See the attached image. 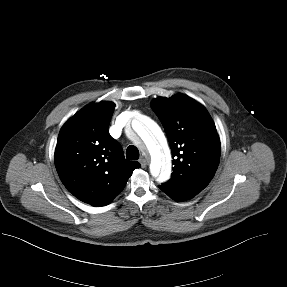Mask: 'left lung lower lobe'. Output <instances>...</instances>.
<instances>
[{"instance_id": "left-lung-lower-lobe-1", "label": "left lung lower lobe", "mask_w": 287, "mask_h": 287, "mask_svg": "<svg viewBox=\"0 0 287 287\" xmlns=\"http://www.w3.org/2000/svg\"><path fill=\"white\" fill-rule=\"evenodd\" d=\"M159 188L165 192L169 197H171L173 200H176V201H185V200H188L178 194H176L175 192L169 190L168 188L164 187L163 185H159Z\"/></svg>"}]
</instances>
